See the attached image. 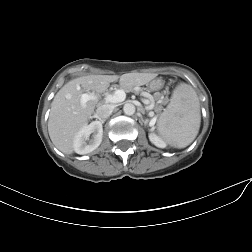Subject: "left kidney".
<instances>
[{
    "instance_id": "obj_1",
    "label": "left kidney",
    "mask_w": 252,
    "mask_h": 252,
    "mask_svg": "<svg viewBox=\"0 0 252 252\" xmlns=\"http://www.w3.org/2000/svg\"><path fill=\"white\" fill-rule=\"evenodd\" d=\"M149 139L155 146H157L159 148H165L166 147V142L153 132H151L149 134Z\"/></svg>"
}]
</instances>
